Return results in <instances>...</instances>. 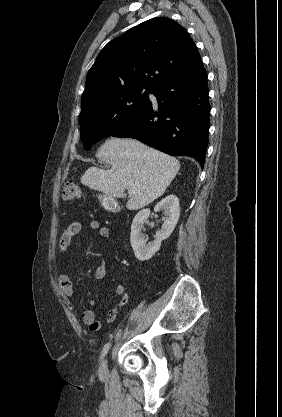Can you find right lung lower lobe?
Returning a JSON list of instances; mask_svg holds the SVG:
<instances>
[{"mask_svg": "<svg viewBox=\"0 0 282 417\" xmlns=\"http://www.w3.org/2000/svg\"><path fill=\"white\" fill-rule=\"evenodd\" d=\"M207 73L202 62L154 91L157 103L145 106L113 137L135 138L172 156H192L204 167L208 146Z\"/></svg>", "mask_w": 282, "mask_h": 417, "instance_id": "98d812e1", "label": "right lung lower lobe"}]
</instances>
